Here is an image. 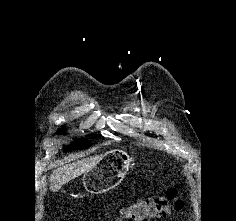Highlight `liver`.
Segmentation results:
<instances>
[{
    "label": "liver",
    "mask_w": 236,
    "mask_h": 221,
    "mask_svg": "<svg viewBox=\"0 0 236 221\" xmlns=\"http://www.w3.org/2000/svg\"><path fill=\"white\" fill-rule=\"evenodd\" d=\"M103 156L104 155H96L94 157L83 158L76 162H72L57 168L50 175V189L57 191L65 183L82 174H85L90 169H92L102 159Z\"/></svg>",
    "instance_id": "liver-1"
}]
</instances>
